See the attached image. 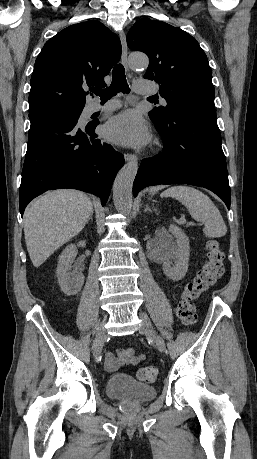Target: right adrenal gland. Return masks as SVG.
I'll use <instances>...</instances> for the list:
<instances>
[{
  "mask_svg": "<svg viewBox=\"0 0 257 459\" xmlns=\"http://www.w3.org/2000/svg\"><path fill=\"white\" fill-rule=\"evenodd\" d=\"M92 216H93V214L90 215L88 221H93V217Z\"/></svg>",
  "mask_w": 257,
  "mask_h": 459,
  "instance_id": "2a0ac1e0",
  "label": "right adrenal gland"
}]
</instances>
